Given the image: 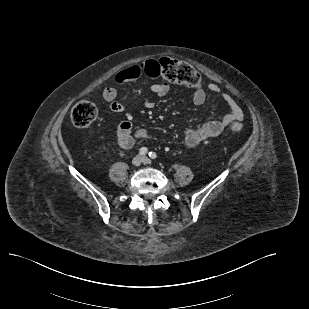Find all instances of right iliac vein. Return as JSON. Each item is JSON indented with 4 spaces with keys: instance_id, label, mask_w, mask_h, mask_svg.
Instances as JSON below:
<instances>
[{
    "instance_id": "63e3f726",
    "label": "right iliac vein",
    "mask_w": 309,
    "mask_h": 309,
    "mask_svg": "<svg viewBox=\"0 0 309 309\" xmlns=\"http://www.w3.org/2000/svg\"><path fill=\"white\" fill-rule=\"evenodd\" d=\"M142 162H143V158L140 155H137L132 159V164L134 166H139Z\"/></svg>"
}]
</instances>
